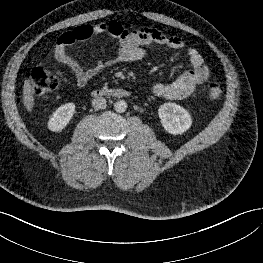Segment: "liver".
<instances>
[{
    "label": "liver",
    "instance_id": "1",
    "mask_svg": "<svg viewBox=\"0 0 263 263\" xmlns=\"http://www.w3.org/2000/svg\"><path fill=\"white\" fill-rule=\"evenodd\" d=\"M23 104L30 112L34 106L33 88L29 79H26L23 85Z\"/></svg>",
    "mask_w": 263,
    "mask_h": 263
}]
</instances>
